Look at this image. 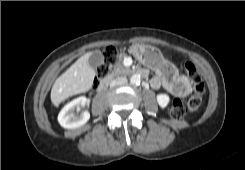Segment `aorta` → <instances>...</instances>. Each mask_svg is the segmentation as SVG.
<instances>
[{
    "mask_svg": "<svg viewBox=\"0 0 245 170\" xmlns=\"http://www.w3.org/2000/svg\"><path fill=\"white\" fill-rule=\"evenodd\" d=\"M140 76L137 75V74H133L131 77H130V83L132 85H139L140 84Z\"/></svg>",
    "mask_w": 245,
    "mask_h": 170,
    "instance_id": "1",
    "label": "aorta"
}]
</instances>
